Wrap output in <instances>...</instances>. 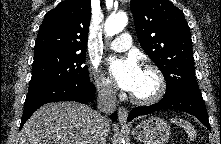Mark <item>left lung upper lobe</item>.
Returning a JSON list of instances; mask_svg holds the SVG:
<instances>
[{"instance_id": "left-lung-upper-lobe-1", "label": "left lung upper lobe", "mask_w": 221, "mask_h": 144, "mask_svg": "<svg viewBox=\"0 0 221 144\" xmlns=\"http://www.w3.org/2000/svg\"><path fill=\"white\" fill-rule=\"evenodd\" d=\"M139 42L166 81L165 96L202 97L196 82L192 40L183 12L169 0H131Z\"/></svg>"}]
</instances>
